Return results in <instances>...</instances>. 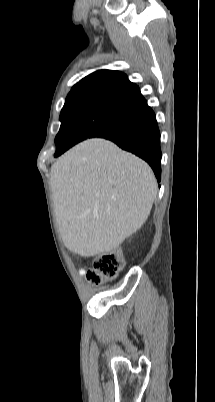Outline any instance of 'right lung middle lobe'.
I'll return each mask as SVG.
<instances>
[{
  "mask_svg": "<svg viewBox=\"0 0 215 402\" xmlns=\"http://www.w3.org/2000/svg\"><path fill=\"white\" fill-rule=\"evenodd\" d=\"M145 107L107 94L67 96L55 138L59 156L75 144L93 137L112 135L128 125Z\"/></svg>",
  "mask_w": 215,
  "mask_h": 402,
  "instance_id": "obj_1",
  "label": "right lung middle lobe"
}]
</instances>
